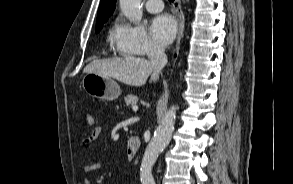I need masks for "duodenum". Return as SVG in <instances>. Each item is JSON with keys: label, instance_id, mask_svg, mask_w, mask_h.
<instances>
[{"label": "duodenum", "instance_id": "1", "mask_svg": "<svg viewBox=\"0 0 293 184\" xmlns=\"http://www.w3.org/2000/svg\"><path fill=\"white\" fill-rule=\"evenodd\" d=\"M140 139L136 136L130 137L127 141V157L132 160L140 148Z\"/></svg>", "mask_w": 293, "mask_h": 184}]
</instances>
